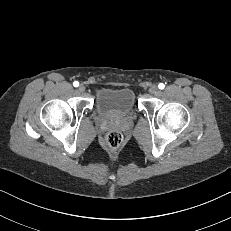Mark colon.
Returning a JSON list of instances; mask_svg holds the SVG:
<instances>
[{
  "label": "colon",
  "mask_w": 231,
  "mask_h": 231,
  "mask_svg": "<svg viewBox=\"0 0 231 231\" xmlns=\"http://www.w3.org/2000/svg\"><path fill=\"white\" fill-rule=\"evenodd\" d=\"M106 145L110 149H117L123 141V136L119 131L113 130L106 135Z\"/></svg>",
  "instance_id": "1"
}]
</instances>
